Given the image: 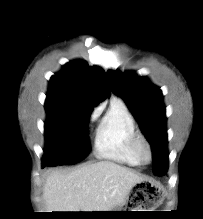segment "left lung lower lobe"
<instances>
[{
	"label": "left lung lower lobe",
	"instance_id": "0a47b994",
	"mask_svg": "<svg viewBox=\"0 0 203 219\" xmlns=\"http://www.w3.org/2000/svg\"><path fill=\"white\" fill-rule=\"evenodd\" d=\"M166 171H167V169H164V170L160 171V173H161L160 175H165Z\"/></svg>",
	"mask_w": 203,
	"mask_h": 219
}]
</instances>
